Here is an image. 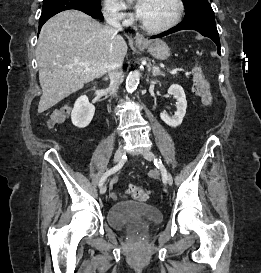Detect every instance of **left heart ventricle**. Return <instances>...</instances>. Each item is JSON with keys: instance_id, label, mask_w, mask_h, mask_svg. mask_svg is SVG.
Segmentation results:
<instances>
[{"instance_id": "left-heart-ventricle-1", "label": "left heart ventricle", "mask_w": 261, "mask_h": 273, "mask_svg": "<svg viewBox=\"0 0 261 273\" xmlns=\"http://www.w3.org/2000/svg\"><path fill=\"white\" fill-rule=\"evenodd\" d=\"M175 13L174 0H144L140 19L149 26L157 27L170 22Z\"/></svg>"}]
</instances>
